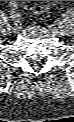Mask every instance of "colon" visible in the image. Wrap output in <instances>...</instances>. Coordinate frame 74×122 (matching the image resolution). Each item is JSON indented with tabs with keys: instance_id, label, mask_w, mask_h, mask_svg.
<instances>
[{
	"instance_id": "colon-1",
	"label": "colon",
	"mask_w": 74,
	"mask_h": 122,
	"mask_svg": "<svg viewBox=\"0 0 74 122\" xmlns=\"http://www.w3.org/2000/svg\"><path fill=\"white\" fill-rule=\"evenodd\" d=\"M26 9L44 11L47 10L55 1H20Z\"/></svg>"
}]
</instances>
